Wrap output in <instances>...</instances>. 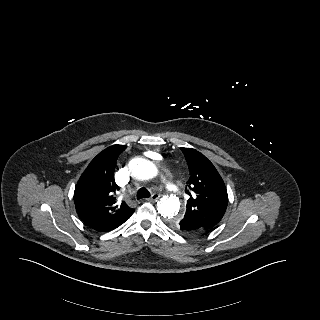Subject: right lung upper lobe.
<instances>
[{"instance_id": "right-lung-upper-lobe-1", "label": "right lung upper lobe", "mask_w": 320, "mask_h": 320, "mask_svg": "<svg viewBox=\"0 0 320 320\" xmlns=\"http://www.w3.org/2000/svg\"><path fill=\"white\" fill-rule=\"evenodd\" d=\"M124 145H112L100 152L88 165L77 182L74 203L81 220L98 232L111 231L134 213L125 202L119 203L114 171Z\"/></svg>"}]
</instances>
